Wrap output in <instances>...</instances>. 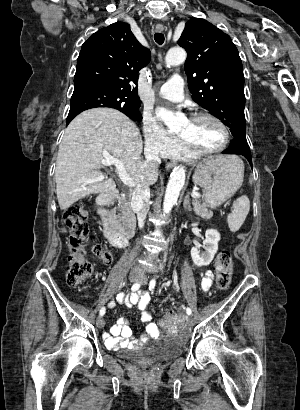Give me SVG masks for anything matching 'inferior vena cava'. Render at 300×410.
Returning a JSON list of instances; mask_svg holds the SVG:
<instances>
[{
  "label": "inferior vena cava",
  "instance_id": "inferior-vena-cava-1",
  "mask_svg": "<svg viewBox=\"0 0 300 410\" xmlns=\"http://www.w3.org/2000/svg\"><path fill=\"white\" fill-rule=\"evenodd\" d=\"M146 161L143 163L144 167L151 165L155 169H158L161 160L158 152L147 151L145 153ZM150 199V189L148 184L139 183L132 194L131 207L137 214L138 224L142 228L145 223L146 215L148 212V202Z\"/></svg>",
  "mask_w": 300,
  "mask_h": 410
}]
</instances>
